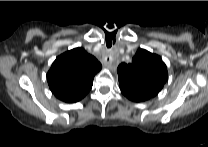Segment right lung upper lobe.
Returning <instances> with one entry per match:
<instances>
[{
	"label": "right lung upper lobe",
	"instance_id": "right-lung-upper-lobe-1",
	"mask_svg": "<svg viewBox=\"0 0 208 147\" xmlns=\"http://www.w3.org/2000/svg\"><path fill=\"white\" fill-rule=\"evenodd\" d=\"M102 65L83 48H75L58 56L47 73L52 93L60 100L73 103L91 89L95 74Z\"/></svg>",
	"mask_w": 208,
	"mask_h": 147
}]
</instances>
